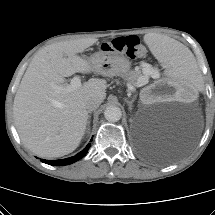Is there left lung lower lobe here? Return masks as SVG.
Returning <instances> with one entry per match:
<instances>
[{
  "instance_id": "0a47b994",
  "label": "left lung lower lobe",
  "mask_w": 215,
  "mask_h": 215,
  "mask_svg": "<svg viewBox=\"0 0 215 215\" xmlns=\"http://www.w3.org/2000/svg\"><path fill=\"white\" fill-rule=\"evenodd\" d=\"M164 151V148L149 149L147 153L152 156H159Z\"/></svg>"
}]
</instances>
